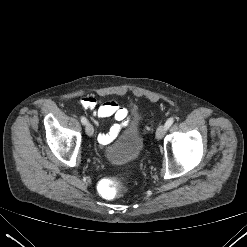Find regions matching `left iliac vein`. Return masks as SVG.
<instances>
[{"mask_svg":"<svg viewBox=\"0 0 247 247\" xmlns=\"http://www.w3.org/2000/svg\"><path fill=\"white\" fill-rule=\"evenodd\" d=\"M166 130H167V128H166L165 125L159 126L158 129H157V131H156V138H157L158 140L162 139L163 136H164L165 133H166Z\"/></svg>","mask_w":247,"mask_h":247,"instance_id":"obj_1","label":"left iliac vein"}]
</instances>
